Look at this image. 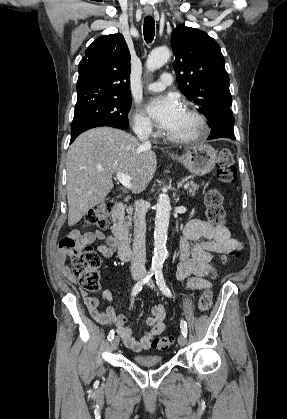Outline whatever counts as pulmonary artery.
Listing matches in <instances>:
<instances>
[{
    "instance_id": "obj_1",
    "label": "pulmonary artery",
    "mask_w": 287,
    "mask_h": 419,
    "mask_svg": "<svg viewBox=\"0 0 287 419\" xmlns=\"http://www.w3.org/2000/svg\"><path fill=\"white\" fill-rule=\"evenodd\" d=\"M173 83V76L170 73H163L160 81L152 82L147 86L149 91L157 92L165 89Z\"/></svg>"
}]
</instances>
